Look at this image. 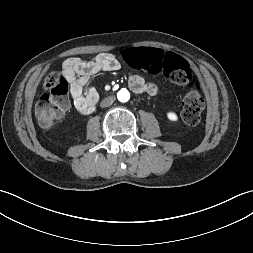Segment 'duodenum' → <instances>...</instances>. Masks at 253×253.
I'll use <instances>...</instances> for the list:
<instances>
[{"label": "duodenum", "mask_w": 253, "mask_h": 253, "mask_svg": "<svg viewBox=\"0 0 253 253\" xmlns=\"http://www.w3.org/2000/svg\"><path fill=\"white\" fill-rule=\"evenodd\" d=\"M93 110H94V106H90V107H88V108L84 111V113H91Z\"/></svg>", "instance_id": "1"}]
</instances>
